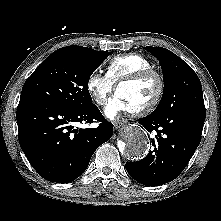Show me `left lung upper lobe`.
<instances>
[{
	"label": "left lung upper lobe",
	"mask_w": 221,
	"mask_h": 221,
	"mask_svg": "<svg viewBox=\"0 0 221 221\" xmlns=\"http://www.w3.org/2000/svg\"><path fill=\"white\" fill-rule=\"evenodd\" d=\"M162 68L164 91L153 116L181 110L206 114L201 82L192 68L173 52L161 47H145Z\"/></svg>",
	"instance_id": "obj_1"
}]
</instances>
